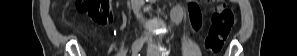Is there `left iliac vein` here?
Masks as SVG:
<instances>
[{
	"label": "left iliac vein",
	"mask_w": 297,
	"mask_h": 56,
	"mask_svg": "<svg viewBox=\"0 0 297 56\" xmlns=\"http://www.w3.org/2000/svg\"><path fill=\"white\" fill-rule=\"evenodd\" d=\"M148 55H149V56H158V55L156 54V52H155L154 50H152L151 48H148Z\"/></svg>",
	"instance_id": "1"
}]
</instances>
